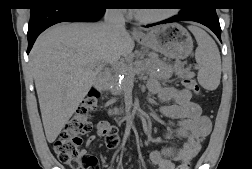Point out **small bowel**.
Masks as SVG:
<instances>
[{
    "instance_id": "1",
    "label": "small bowel",
    "mask_w": 252,
    "mask_h": 169,
    "mask_svg": "<svg viewBox=\"0 0 252 169\" xmlns=\"http://www.w3.org/2000/svg\"><path fill=\"white\" fill-rule=\"evenodd\" d=\"M148 90L162 103L160 111L163 116L169 120L178 121L177 126L165 134V139H186L179 148L168 147L154 150L149 154L150 161L158 169H174L175 162L190 160L198 154L201 141L211 132V121L202 115L200 106L192 101L189 90L161 87L156 80L149 81ZM170 101L173 103L167 104ZM110 126L106 121L97 122L96 135L87 138L86 147H92L97 138H106L107 129Z\"/></svg>"
}]
</instances>
